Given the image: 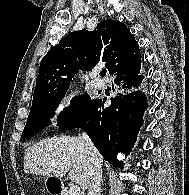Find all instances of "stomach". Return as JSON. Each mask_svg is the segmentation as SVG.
<instances>
[{"mask_svg":"<svg viewBox=\"0 0 189 195\" xmlns=\"http://www.w3.org/2000/svg\"><path fill=\"white\" fill-rule=\"evenodd\" d=\"M51 178L52 177H47L46 180H45V185H46V188L48 190L52 188L51 185H50V183H49V182H51Z\"/></svg>","mask_w":189,"mask_h":195,"instance_id":"0dacf381","label":"stomach"}]
</instances>
